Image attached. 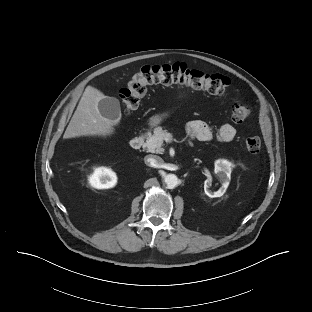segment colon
I'll list each match as a JSON object with an SVG mask.
<instances>
[{"mask_svg":"<svg viewBox=\"0 0 312 312\" xmlns=\"http://www.w3.org/2000/svg\"><path fill=\"white\" fill-rule=\"evenodd\" d=\"M184 84L203 89L213 95H223L227 92L230 81L221 74H208L188 67L184 63L157 64L142 66L119 91L124 112L136 110L147 87L152 84ZM250 108L242 102H235L231 107V117L235 122L248 119ZM245 147L250 153H258L261 149V140L256 136L245 140Z\"/></svg>","mask_w":312,"mask_h":312,"instance_id":"1","label":"colon"}]
</instances>
